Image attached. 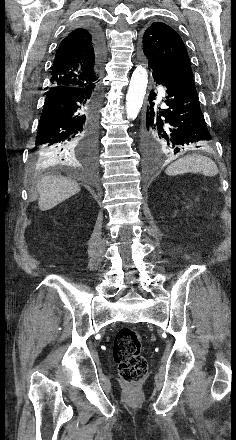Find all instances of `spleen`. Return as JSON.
<instances>
[{"mask_svg": "<svg viewBox=\"0 0 236 440\" xmlns=\"http://www.w3.org/2000/svg\"><path fill=\"white\" fill-rule=\"evenodd\" d=\"M189 172L203 173L206 176H215L219 173V170L212 159L199 154L182 157L171 163L165 170V173L170 176Z\"/></svg>", "mask_w": 236, "mask_h": 440, "instance_id": "1", "label": "spleen"}]
</instances>
